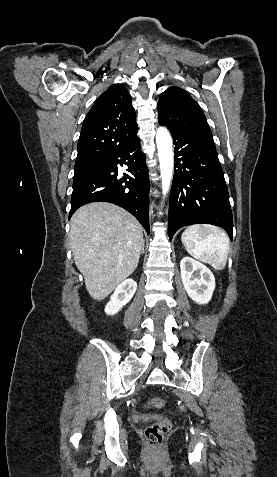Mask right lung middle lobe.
I'll list each match as a JSON object with an SVG mask.
<instances>
[{"mask_svg":"<svg viewBox=\"0 0 277 477\" xmlns=\"http://www.w3.org/2000/svg\"><path fill=\"white\" fill-rule=\"evenodd\" d=\"M80 169H75V172L79 171Z\"/></svg>","mask_w":277,"mask_h":477,"instance_id":"1","label":"right lung middle lobe"}]
</instances>
